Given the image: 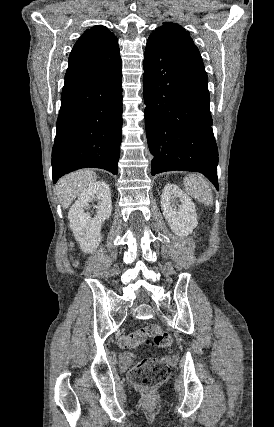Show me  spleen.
I'll list each match as a JSON object with an SVG mask.
<instances>
[{
    "instance_id": "spleen-1",
    "label": "spleen",
    "mask_w": 274,
    "mask_h": 427,
    "mask_svg": "<svg viewBox=\"0 0 274 427\" xmlns=\"http://www.w3.org/2000/svg\"><path fill=\"white\" fill-rule=\"evenodd\" d=\"M184 186L187 194L202 202L205 206H212V192L209 182L200 174H189L184 178Z\"/></svg>"
}]
</instances>
